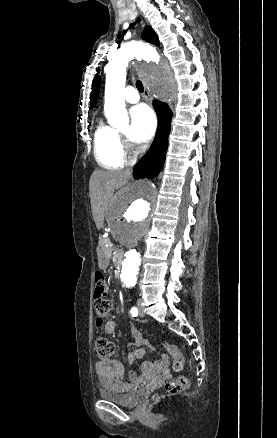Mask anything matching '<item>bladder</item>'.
<instances>
[{
  "instance_id": "bladder-1",
  "label": "bladder",
  "mask_w": 277,
  "mask_h": 438,
  "mask_svg": "<svg viewBox=\"0 0 277 438\" xmlns=\"http://www.w3.org/2000/svg\"><path fill=\"white\" fill-rule=\"evenodd\" d=\"M142 394L143 390L141 388L129 390L127 393H121L109 388H101L98 391V395L103 401L128 408L139 405Z\"/></svg>"
}]
</instances>
